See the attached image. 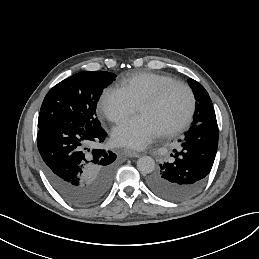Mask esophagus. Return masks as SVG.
I'll use <instances>...</instances> for the list:
<instances>
[{
	"label": "esophagus",
	"instance_id": "1",
	"mask_svg": "<svg viewBox=\"0 0 259 259\" xmlns=\"http://www.w3.org/2000/svg\"><path fill=\"white\" fill-rule=\"evenodd\" d=\"M126 155L128 157H140V154L137 152H134L132 150H126Z\"/></svg>",
	"mask_w": 259,
	"mask_h": 259
}]
</instances>
